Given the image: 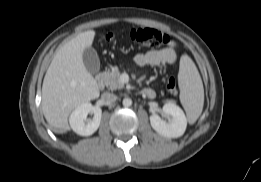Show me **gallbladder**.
Listing matches in <instances>:
<instances>
[{"label":"gallbladder","instance_id":"obj_1","mask_svg":"<svg viewBox=\"0 0 261 182\" xmlns=\"http://www.w3.org/2000/svg\"><path fill=\"white\" fill-rule=\"evenodd\" d=\"M86 70L92 75H96L100 70V61L97 52L92 47L85 48L82 55Z\"/></svg>","mask_w":261,"mask_h":182}]
</instances>
